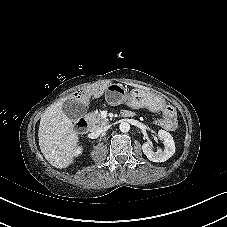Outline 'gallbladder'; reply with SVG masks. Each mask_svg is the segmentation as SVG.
Returning <instances> with one entry per match:
<instances>
[{
  "instance_id": "gallbladder-1",
  "label": "gallbladder",
  "mask_w": 227,
  "mask_h": 227,
  "mask_svg": "<svg viewBox=\"0 0 227 227\" xmlns=\"http://www.w3.org/2000/svg\"><path fill=\"white\" fill-rule=\"evenodd\" d=\"M63 111L72 121L86 113V106L83 103L67 100L63 103Z\"/></svg>"
}]
</instances>
